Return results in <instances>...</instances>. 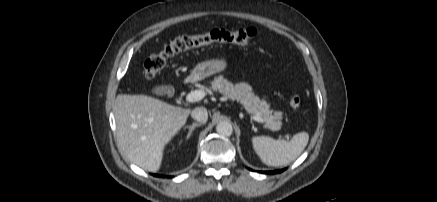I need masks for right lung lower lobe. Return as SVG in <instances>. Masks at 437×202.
<instances>
[{
    "mask_svg": "<svg viewBox=\"0 0 437 202\" xmlns=\"http://www.w3.org/2000/svg\"><path fill=\"white\" fill-rule=\"evenodd\" d=\"M155 176H158L157 174H155ZM162 175H159V177H161Z\"/></svg>",
    "mask_w": 437,
    "mask_h": 202,
    "instance_id": "1",
    "label": "right lung lower lobe"
}]
</instances>
